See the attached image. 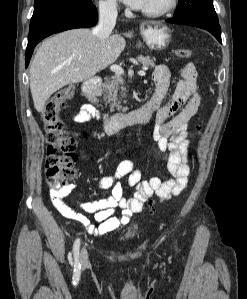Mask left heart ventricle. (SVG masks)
<instances>
[{
    "label": "left heart ventricle",
    "mask_w": 247,
    "mask_h": 299,
    "mask_svg": "<svg viewBox=\"0 0 247 299\" xmlns=\"http://www.w3.org/2000/svg\"><path fill=\"white\" fill-rule=\"evenodd\" d=\"M164 2L165 0H147L146 5L143 9L155 8L162 5Z\"/></svg>",
    "instance_id": "b2bd125f"
}]
</instances>
